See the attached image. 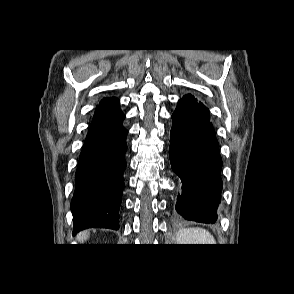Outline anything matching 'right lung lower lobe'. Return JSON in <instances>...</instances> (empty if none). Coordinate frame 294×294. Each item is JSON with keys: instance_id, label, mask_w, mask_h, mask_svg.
Returning <instances> with one entry per match:
<instances>
[{"instance_id": "1", "label": "right lung lower lobe", "mask_w": 294, "mask_h": 294, "mask_svg": "<svg viewBox=\"0 0 294 294\" xmlns=\"http://www.w3.org/2000/svg\"><path fill=\"white\" fill-rule=\"evenodd\" d=\"M119 101L100 103L80 154L71 210L73 234L86 228H119L127 146Z\"/></svg>"}]
</instances>
